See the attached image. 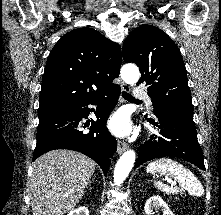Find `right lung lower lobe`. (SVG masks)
I'll use <instances>...</instances> for the list:
<instances>
[{"instance_id": "obj_1", "label": "right lung lower lobe", "mask_w": 221, "mask_h": 215, "mask_svg": "<svg viewBox=\"0 0 221 215\" xmlns=\"http://www.w3.org/2000/svg\"><path fill=\"white\" fill-rule=\"evenodd\" d=\"M120 86L103 91L61 113L39 117L37 144L33 161L42 154L55 149H69L81 152L97 162L106 175L116 152V139L108 132L106 120L118 102ZM97 105L89 131L83 130L82 118H87L93 110L87 106ZM85 127V126H84Z\"/></svg>"}]
</instances>
